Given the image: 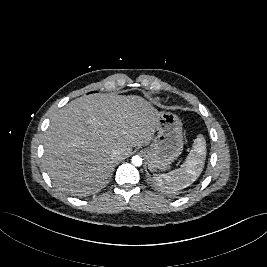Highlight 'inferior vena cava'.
Masks as SVG:
<instances>
[{
	"instance_id": "obj_1",
	"label": "inferior vena cava",
	"mask_w": 267,
	"mask_h": 267,
	"mask_svg": "<svg viewBox=\"0 0 267 267\" xmlns=\"http://www.w3.org/2000/svg\"><path fill=\"white\" fill-rule=\"evenodd\" d=\"M111 158L113 160H120V158H121V151L120 150H114L112 152Z\"/></svg>"
}]
</instances>
